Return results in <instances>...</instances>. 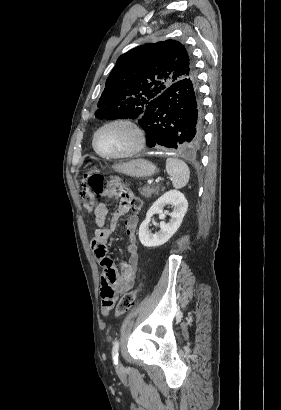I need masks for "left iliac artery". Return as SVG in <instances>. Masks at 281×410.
<instances>
[{"instance_id": "obj_1", "label": "left iliac artery", "mask_w": 281, "mask_h": 410, "mask_svg": "<svg viewBox=\"0 0 281 410\" xmlns=\"http://www.w3.org/2000/svg\"><path fill=\"white\" fill-rule=\"evenodd\" d=\"M118 356H119V341H115L112 349V358L114 364L118 363Z\"/></svg>"}]
</instances>
